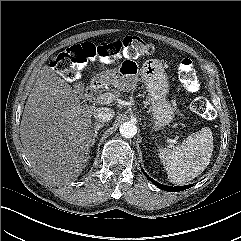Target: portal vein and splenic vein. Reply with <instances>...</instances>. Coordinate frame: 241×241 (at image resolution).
<instances>
[{
    "instance_id": "18ae733b",
    "label": "portal vein and splenic vein",
    "mask_w": 241,
    "mask_h": 241,
    "mask_svg": "<svg viewBox=\"0 0 241 241\" xmlns=\"http://www.w3.org/2000/svg\"><path fill=\"white\" fill-rule=\"evenodd\" d=\"M116 96L110 92H106L97 96L96 101L98 103L110 104L116 100Z\"/></svg>"
}]
</instances>
